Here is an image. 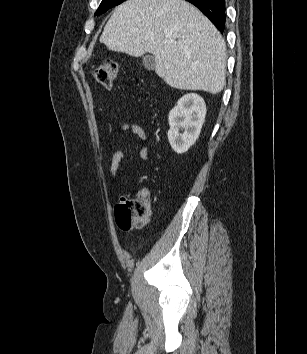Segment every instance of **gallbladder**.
<instances>
[{"mask_svg": "<svg viewBox=\"0 0 307 354\" xmlns=\"http://www.w3.org/2000/svg\"><path fill=\"white\" fill-rule=\"evenodd\" d=\"M143 66L145 69L151 71L155 69V58L152 55H146L143 57Z\"/></svg>", "mask_w": 307, "mask_h": 354, "instance_id": "bac80fb5", "label": "gallbladder"}]
</instances>
